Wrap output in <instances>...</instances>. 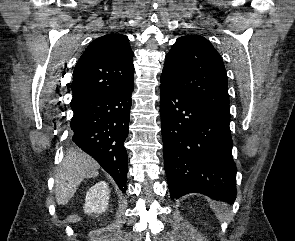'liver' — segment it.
<instances>
[{"mask_svg": "<svg viewBox=\"0 0 295 241\" xmlns=\"http://www.w3.org/2000/svg\"><path fill=\"white\" fill-rule=\"evenodd\" d=\"M99 164L80 151H69L55 175V196L58 205H65L74 196L84 178L98 175Z\"/></svg>", "mask_w": 295, "mask_h": 241, "instance_id": "6515ba94", "label": "liver"}]
</instances>
